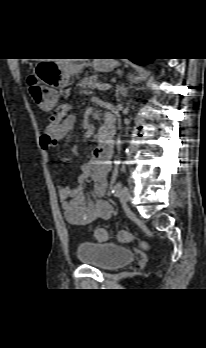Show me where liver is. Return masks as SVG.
Masks as SVG:
<instances>
[{
    "instance_id": "6515ba94",
    "label": "liver",
    "mask_w": 206,
    "mask_h": 348,
    "mask_svg": "<svg viewBox=\"0 0 206 348\" xmlns=\"http://www.w3.org/2000/svg\"><path fill=\"white\" fill-rule=\"evenodd\" d=\"M89 59H57L56 62L57 63H70V62H75V61H88Z\"/></svg>"
}]
</instances>
